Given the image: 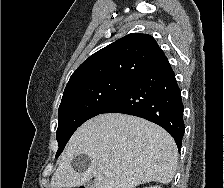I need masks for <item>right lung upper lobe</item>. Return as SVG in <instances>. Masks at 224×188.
I'll return each instance as SVG.
<instances>
[{
    "label": "right lung upper lobe",
    "instance_id": "1",
    "mask_svg": "<svg viewBox=\"0 0 224 188\" xmlns=\"http://www.w3.org/2000/svg\"><path fill=\"white\" fill-rule=\"evenodd\" d=\"M166 59L151 35L131 33L85 60L72 74L66 88L106 78L134 79Z\"/></svg>",
    "mask_w": 224,
    "mask_h": 188
}]
</instances>
